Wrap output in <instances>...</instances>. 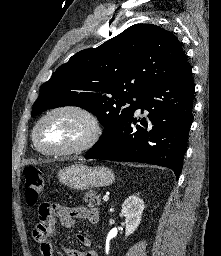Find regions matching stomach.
I'll return each instance as SVG.
<instances>
[{"label":"stomach","instance_id":"0dacf381","mask_svg":"<svg viewBox=\"0 0 221 256\" xmlns=\"http://www.w3.org/2000/svg\"><path fill=\"white\" fill-rule=\"evenodd\" d=\"M59 181L75 190H86L111 185L115 176L107 167H88L77 163L58 172Z\"/></svg>","mask_w":221,"mask_h":256}]
</instances>
